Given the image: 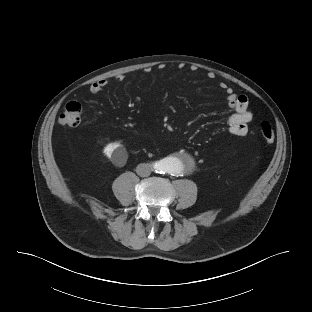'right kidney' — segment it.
<instances>
[{
    "label": "right kidney",
    "instance_id": "ca27d5eb",
    "mask_svg": "<svg viewBox=\"0 0 312 312\" xmlns=\"http://www.w3.org/2000/svg\"><path fill=\"white\" fill-rule=\"evenodd\" d=\"M104 154L116 162L119 158L127 159V154L125 149L118 143H110L104 148Z\"/></svg>",
    "mask_w": 312,
    "mask_h": 312
}]
</instances>
